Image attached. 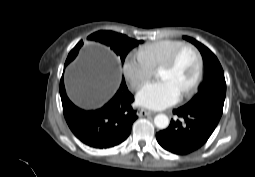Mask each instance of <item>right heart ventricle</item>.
I'll use <instances>...</instances> for the list:
<instances>
[{"mask_svg":"<svg viewBox=\"0 0 255 177\" xmlns=\"http://www.w3.org/2000/svg\"><path fill=\"white\" fill-rule=\"evenodd\" d=\"M184 42L180 40L164 39L153 43L144 45L140 49V53L148 60L154 67H160L166 62L174 51L183 45Z\"/></svg>","mask_w":255,"mask_h":177,"instance_id":"obj_1","label":"right heart ventricle"}]
</instances>
